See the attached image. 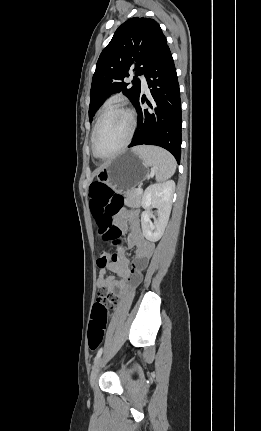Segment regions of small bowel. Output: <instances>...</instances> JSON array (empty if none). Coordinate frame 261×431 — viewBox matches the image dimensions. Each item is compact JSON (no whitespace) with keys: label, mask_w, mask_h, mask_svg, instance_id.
<instances>
[{"label":"small bowel","mask_w":261,"mask_h":431,"mask_svg":"<svg viewBox=\"0 0 261 431\" xmlns=\"http://www.w3.org/2000/svg\"><path fill=\"white\" fill-rule=\"evenodd\" d=\"M118 222L121 229L129 228L126 238V244L129 248H135V256L132 267H129V261L123 253L122 245L117 246L118 260L108 261L100 267L97 285L115 297H123L129 282H137L140 279L141 272L147 267L151 259L155 245L153 242L146 240L141 232L138 211L125 209L120 212ZM107 271H111L119 278L108 276Z\"/></svg>","instance_id":"c3829d8e"}]
</instances>
